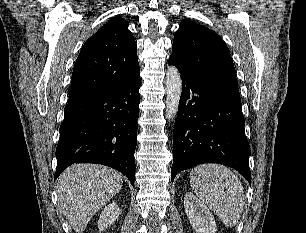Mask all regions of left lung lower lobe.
<instances>
[{
	"label": "left lung lower lobe",
	"instance_id": "left-lung-lower-lobe-1",
	"mask_svg": "<svg viewBox=\"0 0 306 233\" xmlns=\"http://www.w3.org/2000/svg\"><path fill=\"white\" fill-rule=\"evenodd\" d=\"M182 94L173 132L171 180L201 163L235 168L251 184L250 146L238 86L181 68Z\"/></svg>",
	"mask_w": 306,
	"mask_h": 233
}]
</instances>
